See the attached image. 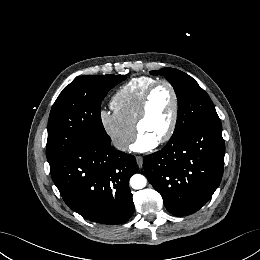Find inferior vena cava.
Here are the masks:
<instances>
[{
    "label": "inferior vena cava",
    "mask_w": 260,
    "mask_h": 260,
    "mask_svg": "<svg viewBox=\"0 0 260 260\" xmlns=\"http://www.w3.org/2000/svg\"><path fill=\"white\" fill-rule=\"evenodd\" d=\"M113 145L115 146V148H117L118 150H122L125 151L128 149L129 146V142L125 141V140H115L113 142Z\"/></svg>",
    "instance_id": "602c4592"
}]
</instances>
